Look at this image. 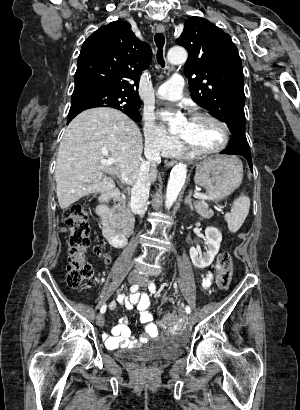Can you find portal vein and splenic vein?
<instances>
[{"label":"portal vein and splenic vein","instance_id":"portal-vein-and-splenic-vein-1","mask_svg":"<svg viewBox=\"0 0 300 410\" xmlns=\"http://www.w3.org/2000/svg\"><path fill=\"white\" fill-rule=\"evenodd\" d=\"M104 155L107 156V152H104ZM116 160L113 158H107V159H102L100 161V163L102 165H111L115 162ZM122 181L128 185L131 184V182L128 180V178L126 176H122ZM194 197L198 198V199H213V196H207L205 194L199 193V192H195L194 193Z\"/></svg>","mask_w":300,"mask_h":410}]
</instances>
